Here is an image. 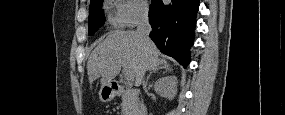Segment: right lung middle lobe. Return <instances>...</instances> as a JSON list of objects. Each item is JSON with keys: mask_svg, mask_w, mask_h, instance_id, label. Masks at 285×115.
<instances>
[{"mask_svg": "<svg viewBox=\"0 0 285 115\" xmlns=\"http://www.w3.org/2000/svg\"><path fill=\"white\" fill-rule=\"evenodd\" d=\"M103 0H92L89 7L88 28L89 35H93L104 24Z\"/></svg>", "mask_w": 285, "mask_h": 115, "instance_id": "1", "label": "right lung middle lobe"}]
</instances>
